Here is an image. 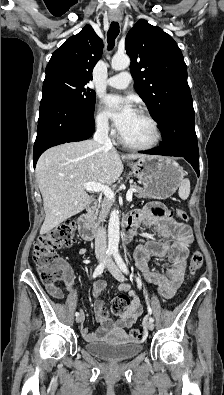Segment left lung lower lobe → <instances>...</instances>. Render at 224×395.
<instances>
[{"mask_svg": "<svg viewBox=\"0 0 224 395\" xmlns=\"http://www.w3.org/2000/svg\"><path fill=\"white\" fill-rule=\"evenodd\" d=\"M159 129L163 135L161 146L142 153L184 157L199 176V151L193 106L168 112L165 123Z\"/></svg>", "mask_w": 224, "mask_h": 395, "instance_id": "obj_1", "label": "left lung lower lobe"}]
</instances>
